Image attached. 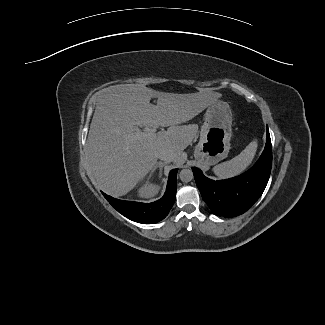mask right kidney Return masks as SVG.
<instances>
[{
    "mask_svg": "<svg viewBox=\"0 0 325 325\" xmlns=\"http://www.w3.org/2000/svg\"><path fill=\"white\" fill-rule=\"evenodd\" d=\"M158 192V187L156 185L145 183L139 190V195L141 197H151Z\"/></svg>",
    "mask_w": 325,
    "mask_h": 325,
    "instance_id": "ca27d5eb",
    "label": "right kidney"
}]
</instances>
